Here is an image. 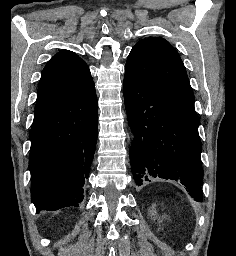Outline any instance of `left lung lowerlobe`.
Segmentation results:
<instances>
[{"label":"left lung lower lobe","instance_id":"1","mask_svg":"<svg viewBox=\"0 0 236 256\" xmlns=\"http://www.w3.org/2000/svg\"><path fill=\"white\" fill-rule=\"evenodd\" d=\"M124 100L134 134L130 163L136 185L154 178L175 180L201 202L203 169L194 104L128 74Z\"/></svg>","mask_w":236,"mask_h":256}]
</instances>
